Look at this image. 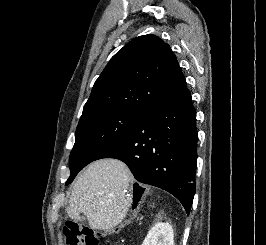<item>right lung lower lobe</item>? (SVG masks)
Returning a JSON list of instances; mask_svg holds the SVG:
<instances>
[{
    "label": "right lung lower lobe",
    "mask_w": 266,
    "mask_h": 245,
    "mask_svg": "<svg viewBox=\"0 0 266 245\" xmlns=\"http://www.w3.org/2000/svg\"><path fill=\"white\" fill-rule=\"evenodd\" d=\"M197 140L196 110L185 85L149 109L126 136L95 160L125 162L135 179L168 191L189 214L196 188Z\"/></svg>",
    "instance_id": "obj_1"
}]
</instances>
